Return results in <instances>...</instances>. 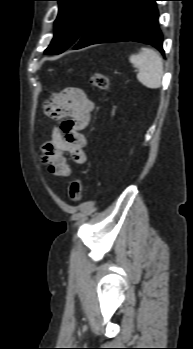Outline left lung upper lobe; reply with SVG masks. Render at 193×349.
Wrapping results in <instances>:
<instances>
[{
	"label": "left lung upper lobe",
	"mask_w": 193,
	"mask_h": 349,
	"mask_svg": "<svg viewBox=\"0 0 193 349\" xmlns=\"http://www.w3.org/2000/svg\"><path fill=\"white\" fill-rule=\"evenodd\" d=\"M59 2L55 34L45 54H60L76 43L109 0H55Z\"/></svg>",
	"instance_id": "1"
}]
</instances>
